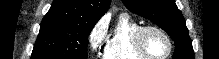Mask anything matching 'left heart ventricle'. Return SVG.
<instances>
[{"label": "left heart ventricle", "instance_id": "1", "mask_svg": "<svg viewBox=\"0 0 219 59\" xmlns=\"http://www.w3.org/2000/svg\"><path fill=\"white\" fill-rule=\"evenodd\" d=\"M143 45L146 52L153 57H162L168 50L165 38L155 31H149L144 35Z\"/></svg>", "mask_w": 219, "mask_h": 59}]
</instances>
